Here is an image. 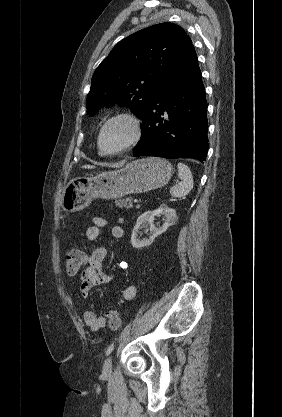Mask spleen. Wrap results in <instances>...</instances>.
Masks as SVG:
<instances>
[{
    "mask_svg": "<svg viewBox=\"0 0 282 417\" xmlns=\"http://www.w3.org/2000/svg\"><path fill=\"white\" fill-rule=\"evenodd\" d=\"M177 166L178 176L181 180L178 184L170 188V194L171 196H175V198H184L193 188V176L189 166H186L183 162H178Z\"/></svg>",
    "mask_w": 282,
    "mask_h": 417,
    "instance_id": "obj_1",
    "label": "spleen"
}]
</instances>
